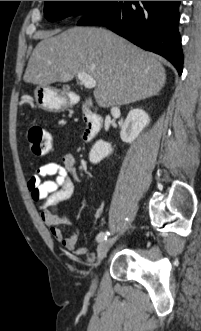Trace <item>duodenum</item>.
<instances>
[{
	"mask_svg": "<svg viewBox=\"0 0 201 331\" xmlns=\"http://www.w3.org/2000/svg\"><path fill=\"white\" fill-rule=\"evenodd\" d=\"M82 118L85 122L83 139L85 142H91L99 133L103 123V118L101 115L86 106L82 107Z\"/></svg>",
	"mask_w": 201,
	"mask_h": 331,
	"instance_id": "obj_1",
	"label": "duodenum"
}]
</instances>
